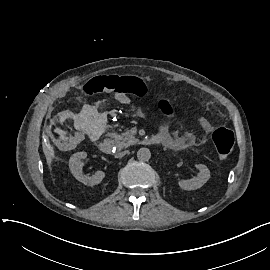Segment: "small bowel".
Instances as JSON below:
<instances>
[{"mask_svg": "<svg viewBox=\"0 0 270 270\" xmlns=\"http://www.w3.org/2000/svg\"><path fill=\"white\" fill-rule=\"evenodd\" d=\"M115 99L122 105H128L131 101L125 94H117ZM200 125L205 133L209 132L211 125L206 119H201ZM157 136L159 137L161 144L174 150L185 149L194 142L191 135L183 134L180 131H173L166 126L159 130ZM46 139L49 143L56 144L58 149L62 151H70L80 140V135L70 138L63 137V132L60 128L51 127L46 132Z\"/></svg>", "mask_w": 270, "mask_h": 270, "instance_id": "obj_1", "label": "small bowel"}]
</instances>
